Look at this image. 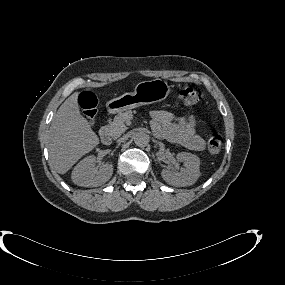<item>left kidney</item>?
<instances>
[{
	"instance_id": "obj_1",
	"label": "left kidney",
	"mask_w": 285,
	"mask_h": 285,
	"mask_svg": "<svg viewBox=\"0 0 285 285\" xmlns=\"http://www.w3.org/2000/svg\"><path fill=\"white\" fill-rule=\"evenodd\" d=\"M176 158L184 163V167L178 173H173L169 169H163L161 173L162 178L173 186L185 187L193 185L200 176L199 157L192 153L180 152Z\"/></svg>"
}]
</instances>
